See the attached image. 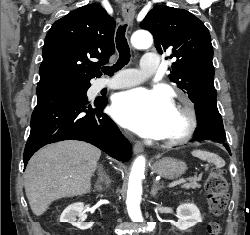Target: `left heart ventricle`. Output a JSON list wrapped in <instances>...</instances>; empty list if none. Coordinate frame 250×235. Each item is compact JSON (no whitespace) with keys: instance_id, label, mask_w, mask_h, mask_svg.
I'll return each mask as SVG.
<instances>
[{"instance_id":"b2bd125f","label":"left heart ventricle","mask_w":250,"mask_h":235,"mask_svg":"<svg viewBox=\"0 0 250 235\" xmlns=\"http://www.w3.org/2000/svg\"><path fill=\"white\" fill-rule=\"evenodd\" d=\"M185 126V120L181 113L176 111L172 112L168 119L167 128L160 138H171L179 134Z\"/></svg>"}]
</instances>
